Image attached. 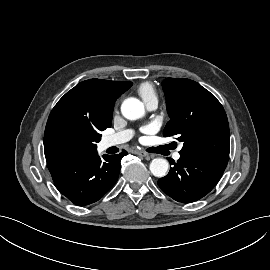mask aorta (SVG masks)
<instances>
[{"label": "aorta", "instance_id": "1", "mask_svg": "<svg viewBox=\"0 0 270 270\" xmlns=\"http://www.w3.org/2000/svg\"><path fill=\"white\" fill-rule=\"evenodd\" d=\"M123 116L129 120L141 118L144 113L143 103L136 98H128L121 105ZM169 163L166 159L155 158L150 163V171L155 177H164L168 171Z\"/></svg>", "mask_w": 270, "mask_h": 270}]
</instances>
